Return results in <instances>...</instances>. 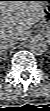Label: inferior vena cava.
Listing matches in <instances>:
<instances>
[{"instance_id": "inferior-vena-cava-1", "label": "inferior vena cava", "mask_w": 50, "mask_h": 111, "mask_svg": "<svg viewBox=\"0 0 50 111\" xmlns=\"http://www.w3.org/2000/svg\"><path fill=\"white\" fill-rule=\"evenodd\" d=\"M19 39L17 37H8L5 39V43H2V48L5 49L15 44Z\"/></svg>"}]
</instances>
